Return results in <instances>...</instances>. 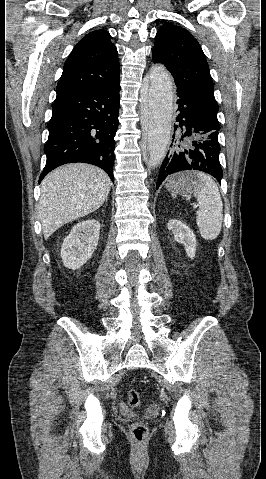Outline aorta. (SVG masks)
Listing matches in <instances>:
<instances>
[{
	"instance_id": "obj_1",
	"label": "aorta",
	"mask_w": 266,
	"mask_h": 479,
	"mask_svg": "<svg viewBox=\"0 0 266 479\" xmlns=\"http://www.w3.org/2000/svg\"><path fill=\"white\" fill-rule=\"evenodd\" d=\"M149 88L141 91L142 120L148 130L149 165L159 166L170 141L174 87L170 74L160 65L150 69Z\"/></svg>"
}]
</instances>
